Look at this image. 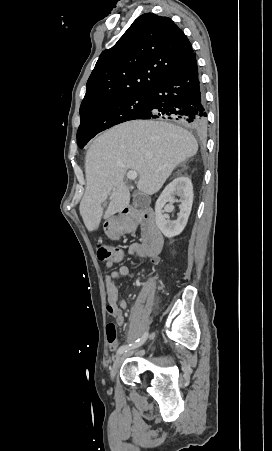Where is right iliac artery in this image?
I'll use <instances>...</instances> for the list:
<instances>
[{
    "label": "right iliac artery",
    "instance_id": "1",
    "mask_svg": "<svg viewBox=\"0 0 272 451\" xmlns=\"http://www.w3.org/2000/svg\"><path fill=\"white\" fill-rule=\"evenodd\" d=\"M147 337H148V333H144L143 336L140 339L136 340L134 343L122 345L118 349L117 354L121 355V354H123L124 352H126L129 349H133V348H137V347L141 346L145 342Z\"/></svg>",
    "mask_w": 272,
    "mask_h": 451
}]
</instances>
